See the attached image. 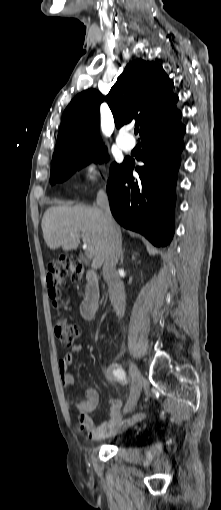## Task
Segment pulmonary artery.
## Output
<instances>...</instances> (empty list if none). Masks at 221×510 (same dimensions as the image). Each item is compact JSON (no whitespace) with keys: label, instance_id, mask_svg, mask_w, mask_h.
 <instances>
[{"label":"pulmonary artery","instance_id":"e3ab8cb5","mask_svg":"<svg viewBox=\"0 0 221 510\" xmlns=\"http://www.w3.org/2000/svg\"><path fill=\"white\" fill-rule=\"evenodd\" d=\"M117 144L125 151H130L134 146V141L129 133H119L116 138Z\"/></svg>","mask_w":221,"mask_h":510}]
</instances>
